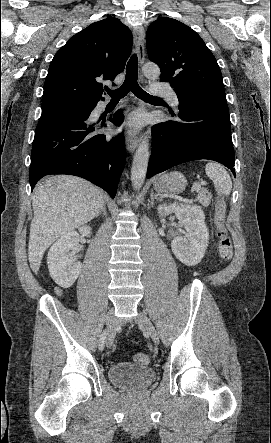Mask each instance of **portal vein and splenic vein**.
<instances>
[{
    "instance_id": "18ae733b",
    "label": "portal vein and splenic vein",
    "mask_w": 271,
    "mask_h": 443,
    "mask_svg": "<svg viewBox=\"0 0 271 443\" xmlns=\"http://www.w3.org/2000/svg\"><path fill=\"white\" fill-rule=\"evenodd\" d=\"M201 186H207V182H195L192 185V192L197 194L201 190Z\"/></svg>"
}]
</instances>
